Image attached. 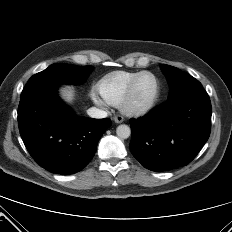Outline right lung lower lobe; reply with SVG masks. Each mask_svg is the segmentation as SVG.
<instances>
[{"mask_svg": "<svg viewBox=\"0 0 232 232\" xmlns=\"http://www.w3.org/2000/svg\"><path fill=\"white\" fill-rule=\"evenodd\" d=\"M58 87L45 86L21 96L18 125L27 150L41 167L73 174L93 158L111 121L75 116L58 97Z\"/></svg>", "mask_w": 232, "mask_h": 232, "instance_id": "obj_1", "label": "right lung lower lobe"}]
</instances>
